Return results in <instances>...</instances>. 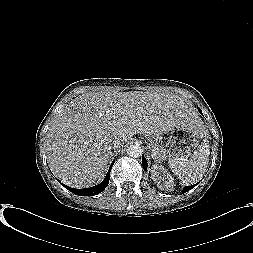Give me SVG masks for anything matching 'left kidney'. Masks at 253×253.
Returning a JSON list of instances; mask_svg holds the SVG:
<instances>
[{
    "label": "left kidney",
    "instance_id": "1",
    "mask_svg": "<svg viewBox=\"0 0 253 253\" xmlns=\"http://www.w3.org/2000/svg\"><path fill=\"white\" fill-rule=\"evenodd\" d=\"M153 168L152 176L157 186L162 190H173L174 179L167 170L162 165H154Z\"/></svg>",
    "mask_w": 253,
    "mask_h": 253
}]
</instances>
